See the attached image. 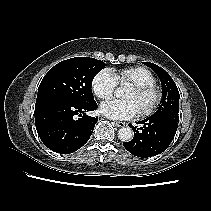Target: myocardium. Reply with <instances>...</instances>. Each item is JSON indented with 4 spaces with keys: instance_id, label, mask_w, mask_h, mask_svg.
Masks as SVG:
<instances>
[{
    "instance_id": "myocardium-1",
    "label": "myocardium",
    "mask_w": 211,
    "mask_h": 211,
    "mask_svg": "<svg viewBox=\"0 0 211 211\" xmlns=\"http://www.w3.org/2000/svg\"><path fill=\"white\" fill-rule=\"evenodd\" d=\"M132 87L142 95L149 93L153 95L151 104L148 107L142 109L139 114L141 116H150L154 114L159 108L163 99L162 89L155 83L132 84Z\"/></svg>"
}]
</instances>
